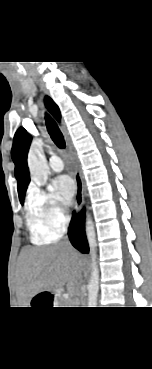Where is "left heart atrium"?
I'll return each instance as SVG.
<instances>
[{
	"instance_id": "1",
	"label": "left heart atrium",
	"mask_w": 152,
	"mask_h": 369,
	"mask_svg": "<svg viewBox=\"0 0 152 369\" xmlns=\"http://www.w3.org/2000/svg\"><path fill=\"white\" fill-rule=\"evenodd\" d=\"M54 186L63 203L70 205L76 191L73 179L69 175H60L55 179Z\"/></svg>"
}]
</instances>
